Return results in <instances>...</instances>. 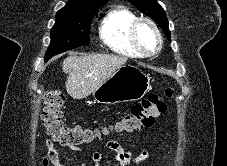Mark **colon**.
Instances as JSON below:
<instances>
[{
	"instance_id": "5ec220e1",
	"label": "colon",
	"mask_w": 227,
	"mask_h": 166,
	"mask_svg": "<svg viewBox=\"0 0 227 166\" xmlns=\"http://www.w3.org/2000/svg\"><path fill=\"white\" fill-rule=\"evenodd\" d=\"M172 96L167 88L162 93H150L140 102L133 105L130 112L122 116L117 130L136 132L153 125L154 119L166 109V99ZM65 96L61 89L54 88L47 92L45 109L42 114L47 134L63 146L89 144L100 138V133L93 129L68 126L62 120V108Z\"/></svg>"
}]
</instances>
